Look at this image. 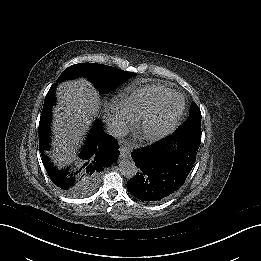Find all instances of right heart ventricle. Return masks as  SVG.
Masks as SVG:
<instances>
[{"label": "right heart ventricle", "mask_w": 261, "mask_h": 261, "mask_svg": "<svg viewBox=\"0 0 261 261\" xmlns=\"http://www.w3.org/2000/svg\"><path fill=\"white\" fill-rule=\"evenodd\" d=\"M173 92L174 90L161 84L144 85L124 94L119 105L124 113L135 120H140L157 110Z\"/></svg>", "instance_id": "right-heart-ventricle-1"}]
</instances>
